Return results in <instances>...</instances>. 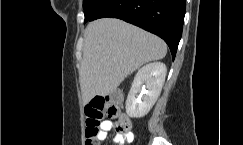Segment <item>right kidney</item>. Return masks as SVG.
Listing matches in <instances>:
<instances>
[{"instance_id": "ca27d5eb", "label": "right kidney", "mask_w": 243, "mask_h": 145, "mask_svg": "<svg viewBox=\"0 0 243 145\" xmlns=\"http://www.w3.org/2000/svg\"><path fill=\"white\" fill-rule=\"evenodd\" d=\"M166 73V65L161 62L149 63L138 70L126 100V113L131 118H141L150 111L161 93Z\"/></svg>"}]
</instances>
